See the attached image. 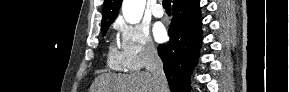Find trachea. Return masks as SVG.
<instances>
[{"mask_svg":"<svg viewBox=\"0 0 289 92\" xmlns=\"http://www.w3.org/2000/svg\"><path fill=\"white\" fill-rule=\"evenodd\" d=\"M163 8L166 12H171V0H163Z\"/></svg>","mask_w":289,"mask_h":92,"instance_id":"obj_1","label":"trachea"}]
</instances>
